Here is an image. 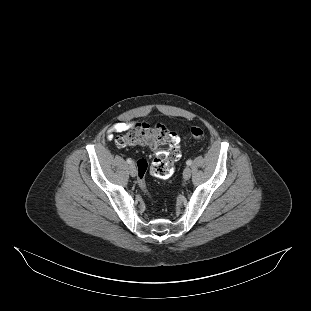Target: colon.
Listing matches in <instances>:
<instances>
[{
	"label": "colon",
	"mask_w": 311,
	"mask_h": 311,
	"mask_svg": "<svg viewBox=\"0 0 311 311\" xmlns=\"http://www.w3.org/2000/svg\"><path fill=\"white\" fill-rule=\"evenodd\" d=\"M191 137L196 141H202L205 137L200 127H192ZM119 147L147 146L155 152V158L151 164L152 173L161 179H168L173 174V164L179 159L180 151L177 146L176 136L164 125L150 126L146 123L133 124L128 131L116 140ZM140 188L147 193L145 175L149 168L146 159H139L136 163Z\"/></svg>",
	"instance_id": "1"
}]
</instances>
